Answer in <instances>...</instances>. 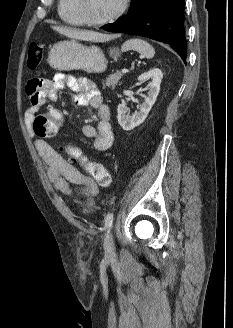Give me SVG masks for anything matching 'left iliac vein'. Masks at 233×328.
I'll return each mask as SVG.
<instances>
[{
	"label": "left iliac vein",
	"mask_w": 233,
	"mask_h": 328,
	"mask_svg": "<svg viewBox=\"0 0 233 328\" xmlns=\"http://www.w3.org/2000/svg\"><path fill=\"white\" fill-rule=\"evenodd\" d=\"M104 248L107 255H112L114 253V240L113 235L109 232L104 241Z\"/></svg>",
	"instance_id": "obj_1"
}]
</instances>
